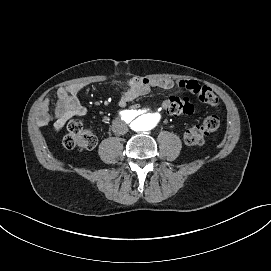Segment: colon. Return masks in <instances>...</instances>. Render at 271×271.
<instances>
[{"label": "colon", "mask_w": 271, "mask_h": 271, "mask_svg": "<svg viewBox=\"0 0 271 271\" xmlns=\"http://www.w3.org/2000/svg\"><path fill=\"white\" fill-rule=\"evenodd\" d=\"M198 99L214 108V112L205 117L201 124L195 125L187 129L184 133V141L191 146H198L204 143L205 137L216 131L220 125L219 109L220 101L216 94L206 86H202L198 93ZM162 108L169 114H191L194 106L188 98L180 96H169L162 103ZM63 143L68 149L90 150L96 146L97 139L93 132L86 128L83 123L78 120L69 122L67 126V134Z\"/></svg>", "instance_id": "5ec220e1"}]
</instances>
